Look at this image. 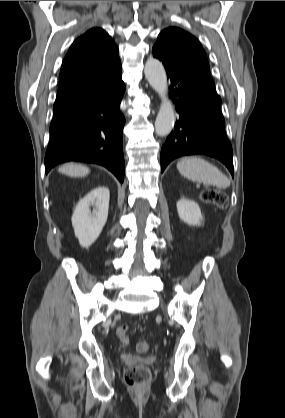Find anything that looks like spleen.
Masks as SVG:
<instances>
[{"label": "spleen", "instance_id": "1", "mask_svg": "<svg viewBox=\"0 0 285 418\" xmlns=\"http://www.w3.org/2000/svg\"><path fill=\"white\" fill-rule=\"evenodd\" d=\"M180 174L195 182L227 188L230 180L216 166L197 156L185 157L177 163Z\"/></svg>", "mask_w": 285, "mask_h": 418}]
</instances>
